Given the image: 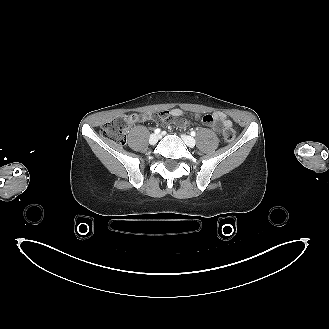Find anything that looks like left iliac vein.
Masks as SVG:
<instances>
[{
	"instance_id": "1",
	"label": "left iliac vein",
	"mask_w": 329,
	"mask_h": 329,
	"mask_svg": "<svg viewBox=\"0 0 329 329\" xmlns=\"http://www.w3.org/2000/svg\"><path fill=\"white\" fill-rule=\"evenodd\" d=\"M161 138V136H160ZM182 139L184 140V142L186 143L187 146L189 147H194L196 144V141L193 137L188 136V135H182Z\"/></svg>"
}]
</instances>
